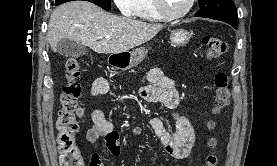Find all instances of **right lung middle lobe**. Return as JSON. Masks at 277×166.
Masks as SVG:
<instances>
[{
  "label": "right lung middle lobe",
  "mask_w": 277,
  "mask_h": 166,
  "mask_svg": "<svg viewBox=\"0 0 277 166\" xmlns=\"http://www.w3.org/2000/svg\"><path fill=\"white\" fill-rule=\"evenodd\" d=\"M68 1H72V0H55V5H60ZM85 1L92 2L105 10L111 9L110 0H85Z\"/></svg>",
  "instance_id": "dd1d6c3e"
}]
</instances>
